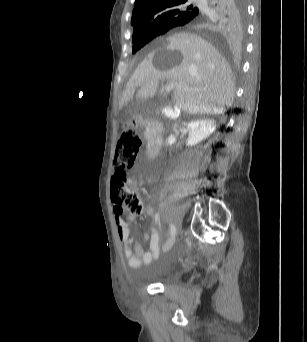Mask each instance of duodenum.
<instances>
[{
  "instance_id": "obj_1",
  "label": "duodenum",
  "mask_w": 307,
  "mask_h": 342,
  "mask_svg": "<svg viewBox=\"0 0 307 342\" xmlns=\"http://www.w3.org/2000/svg\"><path fill=\"white\" fill-rule=\"evenodd\" d=\"M128 124H133L135 127L146 126V128H151L149 136H148V147L146 151V155L148 158H152L160 152L164 143V132L163 128L160 124L157 123L156 117H143L136 118L134 120L133 117L127 118Z\"/></svg>"
}]
</instances>
